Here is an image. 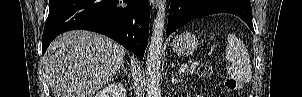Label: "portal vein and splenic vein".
<instances>
[{"mask_svg": "<svg viewBox=\"0 0 302 97\" xmlns=\"http://www.w3.org/2000/svg\"><path fill=\"white\" fill-rule=\"evenodd\" d=\"M188 67V65H183L180 69L179 72L182 73L185 71V69Z\"/></svg>", "mask_w": 302, "mask_h": 97, "instance_id": "1", "label": "portal vein and splenic vein"}]
</instances>
